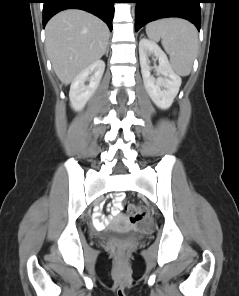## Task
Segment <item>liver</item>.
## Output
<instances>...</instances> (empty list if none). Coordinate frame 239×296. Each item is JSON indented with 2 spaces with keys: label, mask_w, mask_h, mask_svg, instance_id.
<instances>
[{
  "label": "liver",
  "mask_w": 239,
  "mask_h": 296,
  "mask_svg": "<svg viewBox=\"0 0 239 296\" xmlns=\"http://www.w3.org/2000/svg\"><path fill=\"white\" fill-rule=\"evenodd\" d=\"M45 32L47 54L65 85L104 55L109 40V29L101 19L77 9L55 15Z\"/></svg>",
  "instance_id": "obj_1"
}]
</instances>
